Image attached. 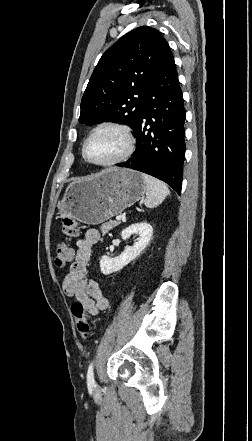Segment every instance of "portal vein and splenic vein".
<instances>
[{
  "instance_id": "1",
  "label": "portal vein and splenic vein",
  "mask_w": 252,
  "mask_h": 441,
  "mask_svg": "<svg viewBox=\"0 0 252 441\" xmlns=\"http://www.w3.org/2000/svg\"><path fill=\"white\" fill-rule=\"evenodd\" d=\"M116 220H117V221L123 220V216H117V217H116Z\"/></svg>"
}]
</instances>
